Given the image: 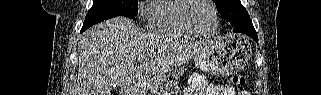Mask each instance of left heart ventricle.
<instances>
[{"mask_svg":"<svg viewBox=\"0 0 321 95\" xmlns=\"http://www.w3.org/2000/svg\"><path fill=\"white\" fill-rule=\"evenodd\" d=\"M189 18L193 25L203 33L211 32L215 26L213 9L206 0L193 2Z\"/></svg>","mask_w":321,"mask_h":95,"instance_id":"left-heart-ventricle-1","label":"left heart ventricle"}]
</instances>
